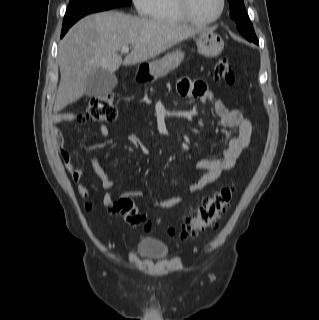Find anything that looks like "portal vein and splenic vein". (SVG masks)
Masks as SVG:
<instances>
[{
	"label": "portal vein and splenic vein",
	"mask_w": 319,
	"mask_h": 320,
	"mask_svg": "<svg viewBox=\"0 0 319 320\" xmlns=\"http://www.w3.org/2000/svg\"><path fill=\"white\" fill-rule=\"evenodd\" d=\"M129 52V47L128 46H124V47H122V49H121V53H123V54H127Z\"/></svg>",
	"instance_id": "portal-vein-and-splenic-vein-1"
}]
</instances>
